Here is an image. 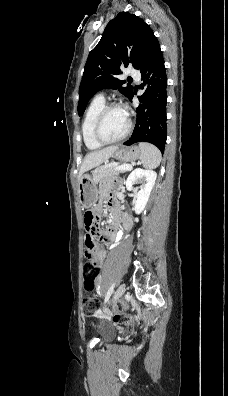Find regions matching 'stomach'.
Returning <instances> with one entry per match:
<instances>
[{
  "mask_svg": "<svg viewBox=\"0 0 228 396\" xmlns=\"http://www.w3.org/2000/svg\"><path fill=\"white\" fill-rule=\"evenodd\" d=\"M112 156L121 162H133L140 158L141 150L138 146L118 148ZM95 173L96 170L92 174H83L78 183L79 202L84 208L93 207L98 199L97 186L93 179Z\"/></svg>",
  "mask_w": 228,
  "mask_h": 396,
  "instance_id": "1",
  "label": "stomach"
}]
</instances>
